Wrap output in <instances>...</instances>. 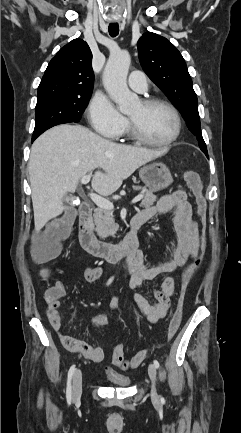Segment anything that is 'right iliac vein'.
Wrapping results in <instances>:
<instances>
[{"label":"right iliac vein","instance_id":"right-iliac-vein-1","mask_svg":"<svg viewBox=\"0 0 241 433\" xmlns=\"http://www.w3.org/2000/svg\"><path fill=\"white\" fill-rule=\"evenodd\" d=\"M72 389V398L74 401H78L82 395V372L80 369L74 373Z\"/></svg>","mask_w":241,"mask_h":433}]
</instances>
